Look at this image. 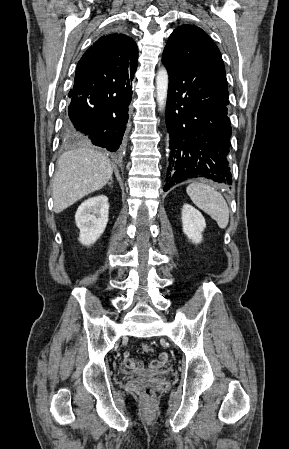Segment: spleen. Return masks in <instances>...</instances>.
I'll use <instances>...</instances> for the list:
<instances>
[{
	"instance_id": "obj_1",
	"label": "spleen",
	"mask_w": 289,
	"mask_h": 449,
	"mask_svg": "<svg viewBox=\"0 0 289 449\" xmlns=\"http://www.w3.org/2000/svg\"><path fill=\"white\" fill-rule=\"evenodd\" d=\"M186 192L198 208L217 222L219 228L224 229L227 227L229 208L221 193L201 182L191 183L186 188Z\"/></svg>"
}]
</instances>
